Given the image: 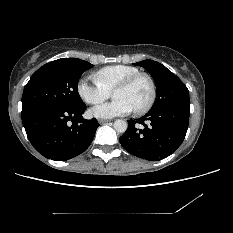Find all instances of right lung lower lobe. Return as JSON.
Masks as SVG:
<instances>
[{
  "mask_svg": "<svg viewBox=\"0 0 233 233\" xmlns=\"http://www.w3.org/2000/svg\"><path fill=\"white\" fill-rule=\"evenodd\" d=\"M86 109L43 106L22 114L27 137L44 157L65 161L83 153L92 143L99 124L82 117Z\"/></svg>",
  "mask_w": 233,
  "mask_h": 233,
  "instance_id": "1",
  "label": "right lung lower lobe"
}]
</instances>
